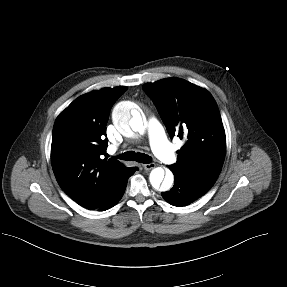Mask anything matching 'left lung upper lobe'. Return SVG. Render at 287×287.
I'll use <instances>...</instances> for the list:
<instances>
[{
	"label": "left lung upper lobe",
	"instance_id": "obj_1",
	"mask_svg": "<svg viewBox=\"0 0 287 287\" xmlns=\"http://www.w3.org/2000/svg\"><path fill=\"white\" fill-rule=\"evenodd\" d=\"M143 89L155 103L170 137H186L170 170L210 190L226 153L225 131L214 98L207 90L179 78L148 83Z\"/></svg>",
	"mask_w": 287,
	"mask_h": 287
}]
</instances>
